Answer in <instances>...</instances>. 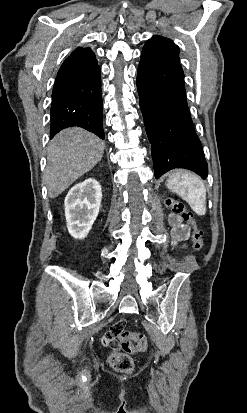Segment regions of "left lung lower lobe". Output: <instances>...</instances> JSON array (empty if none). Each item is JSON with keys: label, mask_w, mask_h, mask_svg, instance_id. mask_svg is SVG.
Masks as SVG:
<instances>
[{"label": "left lung lower lobe", "mask_w": 247, "mask_h": 413, "mask_svg": "<svg viewBox=\"0 0 247 413\" xmlns=\"http://www.w3.org/2000/svg\"><path fill=\"white\" fill-rule=\"evenodd\" d=\"M137 89L155 177L174 168H185L206 179L208 165L187 106L179 58L144 47Z\"/></svg>", "instance_id": "0a47b994"}]
</instances>
